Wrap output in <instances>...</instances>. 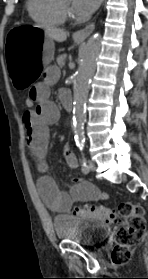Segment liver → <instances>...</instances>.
Wrapping results in <instances>:
<instances>
[{
	"mask_svg": "<svg viewBox=\"0 0 148 279\" xmlns=\"http://www.w3.org/2000/svg\"><path fill=\"white\" fill-rule=\"evenodd\" d=\"M38 28H42L45 31V34L52 40H55L57 42H64L67 38V32H65L63 29H59L56 27H49V26H34Z\"/></svg>",
	"mask_w": 148,
	"mask_h": 279,
	"instance_id": "6515ba94",
	"label": "liver"
}]
</instances>
